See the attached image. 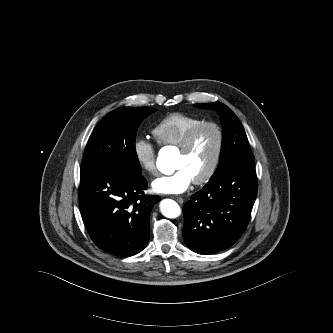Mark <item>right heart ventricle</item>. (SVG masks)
I'll use <instances>...</instances> for the list:
<instances>
[{"label": "right heart ventricle", "instance_id": "obj_1", "mask_svg": "<svg viewBox=\"0 0 333 333\" xmlns=\"http://www.w3.org/2000/svg\"><path fill=\"white\" fill-rule=\"evenodd\" d=\"M203 119L181 113H173L163 118L153 129V134L161 145L179 147L188 133Z\"/></svg>", "mask_w": 333, "mask_h": 333}]
</instances>
